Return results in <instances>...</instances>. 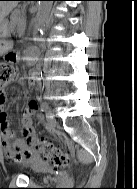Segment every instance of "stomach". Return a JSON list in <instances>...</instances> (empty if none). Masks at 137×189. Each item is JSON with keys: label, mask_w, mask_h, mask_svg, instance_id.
<instances>
[{"label": "stomach", "mask_w": 137, "mask_h": 189, "mask_svg": "<svg viewBox=\"0 0 137 189\" xmlns=\"http://www.w3.org/2000/svg\"><path fill=\"white\" fill-rule=\"evenodd\" d=\"M8 22L5 20L0 27V54H3L8 49L10 42L5 38L8 36Z\"/></svg>", "instance_id": "1"}]
</instances>
